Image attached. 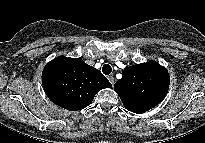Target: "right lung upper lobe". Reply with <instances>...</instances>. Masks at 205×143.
<instances>
[{"mask_svg": "<svg viewBox=\"0 0 205 143\" xmlns=\"http://www.w3.org/2000/svg\"><path fill=\"white\" fill-rule=\"evenodd\" d=\"M42 84L53 103L70 111L89 106L97 92L112 86L99 70L87 65L81 58L64 56L45 66Z\"/></svg>", "mask_w": 205, "mask_h": 143, "instance_id": "cb5924a9", "label": "right lung upper lobe"}]
</instances>
